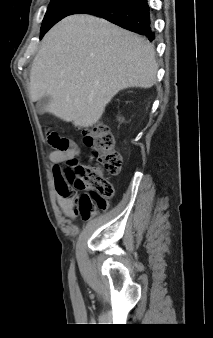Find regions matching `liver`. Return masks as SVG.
<instances>
[{"label":"liver","mask_w":213,"mask_h":338,"mask_svg":"<svg viewBox=\"0 0 213 338\" xmlns=\"http://www.w3.org/2000/svg\"><path fill=\"white\" fill-rule=\"evenodd\" d=\"M155 48L144 38L104 19L72 15L42 40L30 71L33 102L50 97L44 110L77 127H91L121 90L156 83Z\"/></svg>","instance_id":"6515ba94"}]
</instances>
